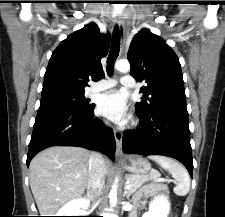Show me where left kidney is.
<instances>
[{
  "mask_svg": "<svg viewBox=\"0 0 225 217\" xmlns=\"http://www.w3.org/2000/svg\"><path fill=\"white\" fill-rule=\"evenodd\" d=\"M170 211L169 201L163 197H156L149 206V211L142 217H167Z\"/></svg>",
  "mask_w": 225,
  "mask_h": 217,
  "instance_id": "1",
  "label": "left kidney"
}]
</instances>
